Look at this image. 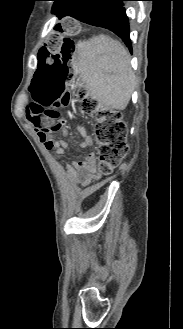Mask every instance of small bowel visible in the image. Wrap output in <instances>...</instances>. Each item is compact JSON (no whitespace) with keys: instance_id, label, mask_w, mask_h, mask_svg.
<instances>
[{"instance_id":"small-bowel-1","label":"small bowel","mask_w":183,"mask_h":329,"mask_svg":"<svg viewBox=\"0 0 183 329\" xmlns=\"http://www.w3.org/2000/svg\"><path fill=\"white\" fill-rule=\"evenodd\" d=\"M28 108V107H27ZM26 108V109H27ZM25 116L31 123L32 127L36 131L39 140L43 143L46 149L52 150L56 156H60L65 152L70 151V145L65 140L53 141L49 138L51 133H43L42 128L47 126L42 117L28 114L25 110ZM81 133L84 135L83 140L80 142L82 148L89 147L92 144V140L89 136H86V132L83 128H80ZM97 156L94 153H90L82 159L73 161L67 167V172L72 174L76 180L83 186L89 187L96 182L100 173L96 166ZM90 191L87 192L89 194Z\"/></svg>"}]
</instances>
